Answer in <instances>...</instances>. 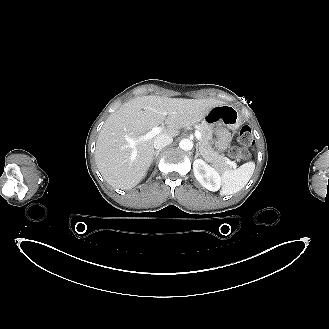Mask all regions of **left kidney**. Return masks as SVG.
Returning a JSON list of instances; mask_svg holds the SVG:
<instances>
[{
  "instance_id": "obj_1",
  "label": "left kidney",
  "mask_w": 329,
  "mask_h": 329,
  "mask_svg": "<svg viewBox=\"0 0 329 329\" xmlns=\"http://www.w3.org/2000/svg\"><path fill=\"white\" fill-rule=\"evenodd\" d=\"M193 171L196 179L203 187L210 191H218L220 189L221 177L219 172L202 159L194 161Z\"/></svg>"
}]
</instances>
